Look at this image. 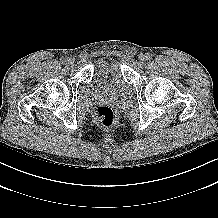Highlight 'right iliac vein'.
<instances>
[{
	"label": "right iliac vein",
	"instance_id": "1",
	"mask_svg": "<svg viewBox=\"0 0 218 218\" xmlns=\"http://www.w3.org/2000/svg\"><path fill=\"white\" fill-rule=\"evenodd\" d=\"M74 62H75V59L73 57L67 58V63L68 64L72 65V64H74Z\"/></svg>",
	"mask_w": 218,
	"mask_h": 218
}]
</instances>
